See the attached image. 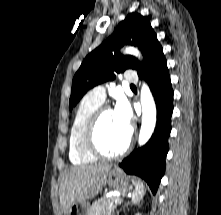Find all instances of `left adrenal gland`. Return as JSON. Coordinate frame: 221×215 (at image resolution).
<instances>
[{
    "label": "left adrenal gland",
    "mask_w": 221,
    "mask_h": 215,
    "mask_svg": "<svg viewBox=\"0 0 221 215\" xmlns=\"http://www.w3.org/2000/svg\"><path fill=\"white\" fill-rule=\"evenodd\" d=\"M129 204H130V202L125 203L124 206L122 207V209H123L124 207H127Z\"/></svg>",
    "instance_id": "1"
}]
</instances>
